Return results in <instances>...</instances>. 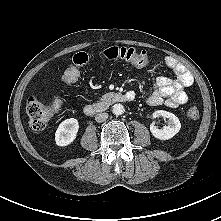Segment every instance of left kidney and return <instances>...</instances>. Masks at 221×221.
Wrapping results in <instances>:
<instances>
[{
    "instance_id": "obj_1",
    "label": "left kidney",
    "mask_w": 221,
    "mask_h": 221,
    "mask_svg": "<svg viewBox=\"0 0 221 221\" xmlns=\"http://www.w3.org/2000/svg\"><path fill=\"white\" fill-rule=\"evenodd\" d=\"M156 117H164L168 119V125L162 127L159 129L155 123H152L150 125V131L152 135L155 138H158L160 140H168L171 139L173 136H175L180 128H181V123L173 113L164 111V110H158L153 113V118Z\"/></svg>"
}]
</instances>
